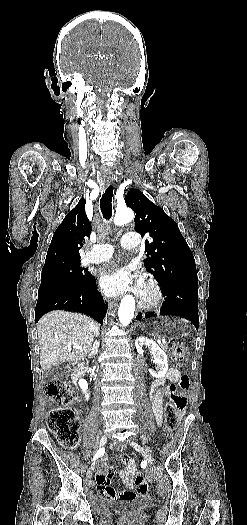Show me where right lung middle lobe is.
Segmentation results:
<instances>
[{
	"label": "right lung middle lobe",
	"mask_w": 247,
	"mask_h": 525,
	"mask_svg": "<svg viewBox=\"0 0 247 525\" xmlns=\"http://www.w3.org/2000/svg\"><path fill=\"white\" fill-rule=\"evenodd\" d=\"M83 270L80 263H77L42 271L38 296L54 290L79 288L85 285L92 276L89 273L84 274L85 270Z\"/></svg>",
	"instance_id": "obj_1"
}]
</instances>
